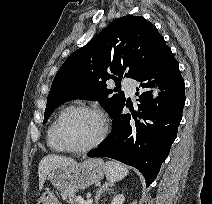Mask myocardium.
<instances>
[{
	"label": "myocardium",
	"mask_w": 212,
	"mask_h": 204,
	"mask_svg": "<svg viewBox=\"0 0 212 204\" xmlns=\"http://www.w3.org/2000/svg\"><path fill=\"white\" fill-rule=\"evenodd\" d=\"M74 111H85V112L92 113L97 116V118L99 119V122H100V132L97 135V137L90 144H88L84 147H80V148L71 147L68 144H66V142L64 141V139L61 135V131H60L61 122H62L63 118L70 112H74ZM108 128H109L108 118H107L106 114L100 108L95 107V106H90V105H84V104L73 105V106H70V107L64 109L63 111H61L60 114L58 115V117L56 118V121L54 124V136H55L57 143L61 146V148L64 151H67L70 153L81 154V153H87V152L97 148L104 141L105 137L107 136Z\"/></svg>",
	"instance_id": "1"
}]
</instances>
